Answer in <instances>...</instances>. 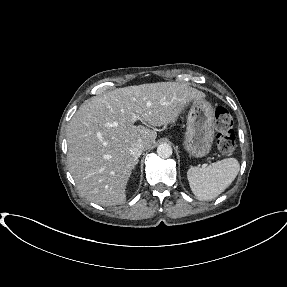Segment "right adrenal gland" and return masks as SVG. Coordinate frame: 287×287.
I'll return each instance as SVG.
<instances>
[{"label":"right adrenal gland","mask_w":287,"mask_h":287,"mask_svg":"<svg viewBox=\"0 0 287 287\" xmlns=\"http://www.w3.org/2000/svg\"><path fill=\"white\" fill-rule=\"evenodd\" d=\"M137 163H138V160H135L134 163H133V167H132L133 170H134V168H135Z\"/></svg>","instance_id":"right-adrenal-gland-1"}]
</instances>
